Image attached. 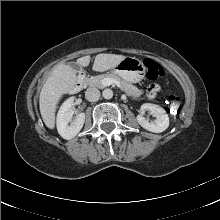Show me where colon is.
I'll use <instances>...</instances> for the list:
<instances>
[{
    "label": "colon",
    "instance_id": "1",
    "mask_svg": "<svg viewBox=\"0 0 220 220\" xmlns=\"http://www.w3.org/2000/svg\"><path fill=\"white\" fill-rule=\"evenodd\" d=\"M144 65L147 71V77L156 80L164 75V68L152 59H145ZM181 103V95L179 93H171L167 98V106L170 113L178 112Z\"/></svg>",
    "mask_w": 220,
    "mask_h": 220
}]
</instances>
